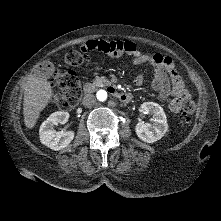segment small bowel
Segmentation results:
<instances>
[{
    "instance_id": "small-bowel-1",
    "label": "small bowel",
    "mask_w": 221,
    "mask_h": 221,
    "mask_svg": "<svg viewBox=\"0 0 221 221\" xmlns=\"http://www.w3.org/2000/svg\"><path fill=\"white\" fill-rule=\"evenodd\" d=\"M81 51L85 54L97 51L112 57L126 54L132 58V63L135 65L148 64L153 72L152 87L172 112H179L184 102L190 97L170 57L161 53H142L133 41L91 39L81 46ZM143 81L144 75L140 74L135 78L134 84L141 85Z\"/></svg>"
}]
</instances>
